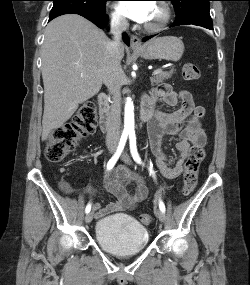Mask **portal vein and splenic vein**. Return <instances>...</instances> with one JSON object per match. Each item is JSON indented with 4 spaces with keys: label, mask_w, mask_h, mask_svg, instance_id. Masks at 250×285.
<instances>
[{
    "label": "portal vein and splenic vein",
    "mask_w": 250,
    "mask_h": 285,
    "mask_svg": "<svg viewBox=\"0 0 250 285\" xmlns=\"http://www.w3.org/2000/svg\"><path fill=\"white\" fill-rule=\"evenodd\" d=\"M160 72H161L160 69L154 70V71L152 72V75H157V74H159Z\"/></svg>",
    "instance_id": "portal-vein-and-splenic-vein-1"
}]
</instances>
